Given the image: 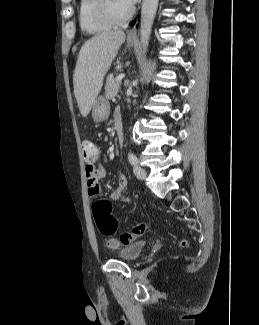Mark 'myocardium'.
<instances>
[{"label": "myocardium", "mask_w": 259, "mask_h": 325, "mask_svg": "<svg viewBox=\"0 0 259 325\" xmlns=\"http://www.w3.org/2000/svg\"><path fill=\"white\" fill-rule=\"evenodd\" d=\"M134 13V8L129 7L123 15L116 14L111 5V0H96L95 16L98 20L107 23L111 26L119 25L128 21Z\"/></svg>", "instance_id": "f54148a6"}]
</instances>
